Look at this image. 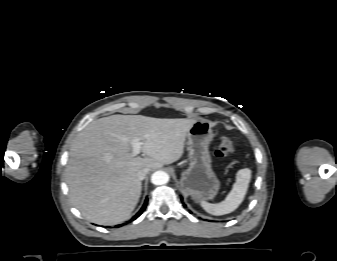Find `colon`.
Wrapping results in <instances>:
<instances>
[{"label": "colon", "mask_w": 337, "mask_h": 261, "mask_svg": "<svg viewBox=\"0 0 337 261\" xmlns=\"http://www.w3.org/2000/svg\"><path fill=\"white\" fill-rule=\"evenodd\" d=\"M234 150L235 148L233 141L229 137L224 136L221 139L220 145L217 148L215 155L220 159L228 158L234 153Z\"/></svg>", "instance_id": "5ec220e1"}]
</instances>
